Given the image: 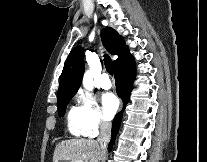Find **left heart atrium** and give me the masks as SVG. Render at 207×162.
I'll use <instances>...</instances> for the list:
<instances>
[{"instance_id":"left-heart-atrium-1","label":"left heart atrium","mask_w":207,"mask_h":162,"mask_svg":"<svg viewBox=\"0 0 207 162\" xmlns=\"http://www.w3.org/2000/svg\"><path fill=\"white\" fill-rule=\"evenodd\" d=\"M119 106L118 98L113 93H106L102 97V110L107 119L112 118Z\"/></svg>"}]
</instances>
